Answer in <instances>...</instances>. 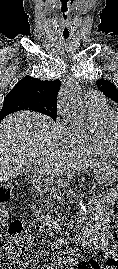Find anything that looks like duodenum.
I'll return each mask as SVG.
<instances>
[{"label":"duodenum","instance_id":"1","mask_svg":"<svg viewBox=\"0 0 118 269\" xmlns=\"http://www.w3.org/2000/svg\"><path fill=\"white\" fill-rule=\"evenodd\" d=\"M36 221L53 233H65L67 228L65 224L42 210H36L35 212Z\"/></svg>","mask_w":118,"mask_h":269}]
</instances>
